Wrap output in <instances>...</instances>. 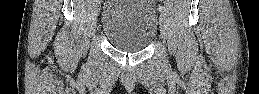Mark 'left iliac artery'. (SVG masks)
Returning <instances> with one entry per match:
<instances>
[{
  "label": "left iliac artery",
  "instance_id": "44dca946",
  "mask_svg": "<svg viewBox=\"0 0 259 94\" xmlns=\"http://www.w3.org/2000/svg\"><path fill=\"white\" fill-rule=\"evenodd\" d=\"M158 9L161 13L166 14V8L163 5H159Z\"/></svg>",
  "mask_w": 259,
  "mask_h": 94
}]
</instances>
